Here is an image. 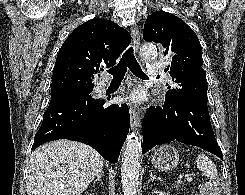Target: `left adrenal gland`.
Segmentation results:
<instances>
[{
	"instance_id": "obj_1",
	"label": "left adrenal gland",
	"mask_w": 245,
	"mask_h": 195,
	"mask_svg": "<svg viewBox=\"0 0 245 195\" xmlns=\"http://www.w3.org/2000/svg\"><path fill=\"white\" fill-rule=\"evenodd\" d=\"M154 180H162V178L161 177H157L152 172H150V179L148 180V182H151V181H154Z\"/></svg>"
}]
</instances>
